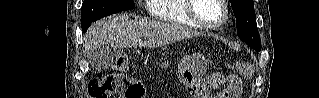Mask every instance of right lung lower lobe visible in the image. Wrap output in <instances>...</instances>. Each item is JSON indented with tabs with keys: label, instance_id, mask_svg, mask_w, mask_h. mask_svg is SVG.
<instances>
[{
	"label": "right lung lower lobe",
	"instance_id": "1",
	"mask_svg": "<svg viewBox=\"0 0 319 98\" xmlns=\"http://www.w3.org/2000/svg\"><path fill=\"white\" fill-rule=\"evenodd\" d=\"M90 25H91V24H88V25H86V26H83V27H82V31H83V32H86L87 29H88V27H89Z\"/></svg>",
	"mask_w": 319,
	"mask_h": 98
}]
</instances>
